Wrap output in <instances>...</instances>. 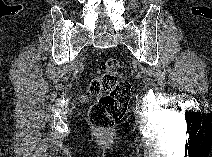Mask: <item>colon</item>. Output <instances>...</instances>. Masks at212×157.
<instances>
[{"label":"colon","instance_id":"colon-1","mask_svg":"<svg viewBox=\"0 0 212 157\" xmlns=\"http://www.w3.org/2000/svg\"><path fill=\"white\" fill-rule=\"evenodd\" d=\"M122 75L120 61L108 58L89 83L90 93L98 99L90 108L88 117L98 131H110L126 114L132 87Z\"/></svg>","mask_w":212,"mask_h":157}]
</instances>
